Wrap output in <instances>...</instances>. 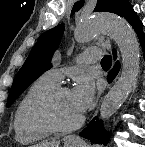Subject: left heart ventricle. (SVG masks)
I'll return each mask as SVG.
<instances>
[{"label":"left heart ventricle","instance_id":"b2bd125f","mask_svg":"<svg viewBox=\"0 0 145 147\" xmlns=\"http://www.w3.org/2000/svg\"><path fill=\"white\" fill-rule=\"evenodd\" d=\"M55 114L58 120L63 124L74 123L81 114L76 110L70 91L63 93L55 103Z\"/></svg>","mask_w":145,"mask_h":147}]
</instances>
